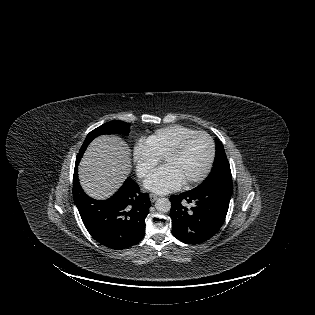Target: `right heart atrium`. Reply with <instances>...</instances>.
Returning a JSON list of instances; mask_svg holds the SVG:
<instances>
[{
  "mask_svg": "<svg viewBox=\"0 0 315 315\" xmlns=\"http://www.w3.org/2000/svg\"><path fill=\"white\" fill-rule=\"evenodd\" d=\"M133 160L138 176L146 178L159 163L160 158L145 140H141L134 146Z\"/></svg>",
  "mask_w": 315,
  "mask_h": 315,
  "instance_id": "right-heart-atrium-1",
  "label": "right heart atrium"
}]
</instances>
